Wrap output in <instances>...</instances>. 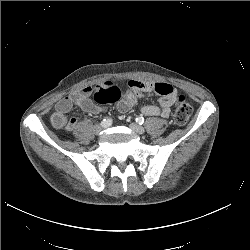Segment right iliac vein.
I'll return each instance as SVG.
<instances>
[{
  "label": "right iliac vein",
  "mask_w": 250,
  "mask_h": 250,
  "mask_svg": "<svg viewBox=\"0 0 250 250\" xmlns=\"http://www.w3.org/2000/svg\"><path fill=\"white\" fill-rule=\"evenodd\" d=\"M102 129H103V126L100 124H97L94 126V133L98 135L102 131Z\"/></svg>",
  "instance_id": "right-iliac-vein-1"
}]
</instances>
